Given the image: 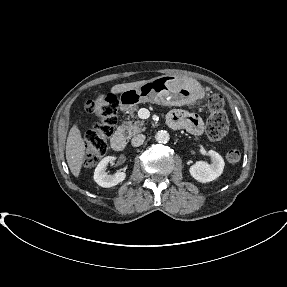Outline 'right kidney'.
Returning a JSON list of instances; mask_svg holds the SVG:
<instances>
[{
	"label": "right kidney",
	"instance_id": "1",
	"mask_svg": "<svg viewBox=\"0 0 287 287\" xmlns=\"http://www.w3.org/2000/svg\"><path fill=\"white\" fill-rule=\"evenodd\" d=\"M115 160L113 156L104 157L94 171V181L101 187L110 188L122 182L126 178V173L117 171L114 174L106 172L109 163Z\"/></svg>",
	"mask_w": 287,
	"mask_h": 287
}]
</instances>
